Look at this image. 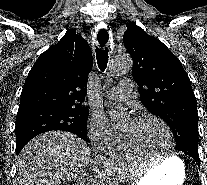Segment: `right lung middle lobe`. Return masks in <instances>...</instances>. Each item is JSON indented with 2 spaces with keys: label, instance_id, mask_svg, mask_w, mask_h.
Instances as JSON below:
<instances>
[{
  "label": "right lung middle lobe",
  "instance_id": "1",
  "mask_svg": "<svg viewBox=\"0 0 207 185\" xmlns=\"http://www.w3.org/2000/svg\"><path fill=\"white\" fill-rule=\"evenodd\" d=\"M88 114V110L51 107L18 111L15 126L16 153L19 154L30 139L47 131H68L86 140Z\"/></svg>",
  "mask_w": 207,
  "mask_h": 185
}]
</instances>
